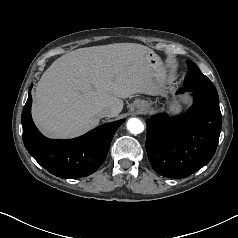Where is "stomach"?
I'll list each match as a JSON object with an SVG mask.
<instances>
[{
    "instance_id": "stomach-1",
    "label": "stomach",
    "mask_w": 238,
    "mask_h": 238,
    "mask_svg": "<svg viewBox=\"0 0 238 238\" xmlns=\"http://www.w3.org/2000/svg\"><path fill=\"white\" fill-rule=\"evenodd\" d=\"M146 57L149 61V63L157 68H159L161 70V74H162V83L161 85L166 84L167 80H168V71L167 69L164 67L160 57L151 49H147V53H146ZM166 92L163 90V92L161 93L162 95H164ZM145 102L143 100L140 101H136L134 103V107L136 108H140L141 104ZM168 106V112L173 113V114H177L180 112L181 110V105L178 101H173V102H168L167 100L164 101L162 103V110L164 109L165 106ZM149 107H152V104H149Z\"/></svg>"
}]
</instances>
